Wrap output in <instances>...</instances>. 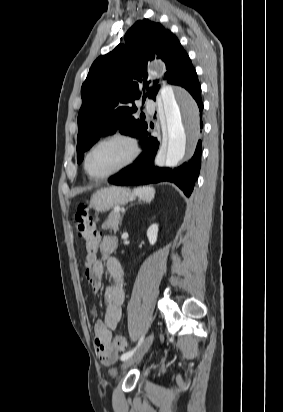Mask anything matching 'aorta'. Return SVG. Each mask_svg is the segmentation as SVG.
Here are the masks:
<instances>
[{"mask_svg": "<svg viewBox=\"0 0 283 412\" xmlns=\"http://www.w3.org/2000/svg\"><path fill=\"white\" fill-rule=\"evenodd\" d=\"M157 76L155 72H150ZM162 99L167 146L164 163L174 167L182 160L198 134V108L186 91L176 93L171 86L163 85Z\"/></svg>", "mask_w": 283, "mask_h": 412, "instance_id": "obj_1", "label": "aorta"}]
</instances>
